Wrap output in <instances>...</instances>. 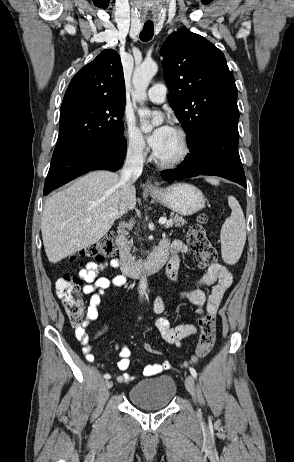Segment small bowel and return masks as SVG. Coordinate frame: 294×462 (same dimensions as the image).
<instances>
[{
	"label": "small bowel",
	"mask_w": 294,
	"mask_h": 462,
	"mask_svg": "<svg viewBox=\"0 0 294 462\" xmlns=\"http://www.w3.org/2000/svg\"><path fill=\"white\" fill-rule=\"evenodd\" d=\"M170 250L172 256L167 265V277L174 283H179V268H180V255L185 254L189 251L187 245L181 240H174L171 243L164 241ZM120 266L118 259H112L105 263L89 262L80 273V279L83 281V293L90 296L89 304L86 312V319L81 326L75 328V336L77 340L83 345L82 351L85 358L89 362L94 361L93 348L89 344V336L86 328L98 318V306L101 303L102 296L106 291L114 286L121 287L126 283L125 276L119 274L112 278L99 276V273L106 267L118 268ZM232 284V275L229 270L221 265L214 264L211 266L206 273L195 280L190 289H182L175 293L176 297L184 299L191 304L202 306L206 305V311L216 313L218 307L222 301V298L227 289ZM210 295H207L204 291V287L212 286ZM166 309V298L163 295L156 297L152 304L151 310L155 315V325L160 332L164 341L169 344L180 347L182 341L190 336L197 333V327L194 324H179L177 326H171L169 321L162 317L161 314ZM198 314H202L203 310L198 309ZM108 326L106 325L103 330L98 331L96 337L102 335L106 331ZM130 350L122 345L120 348L119 356L120 359L117 362V367L121 374L116 377V380L120 383H129L135 379V376L128 373L127 370L130 366ZM170 365L167 361L162 363L149 364L144 368L145 376H155L169 369Z\"/></svg>",
	"instance_id": "c3829d8e"
}]
</instances>
